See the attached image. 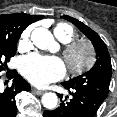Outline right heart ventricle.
<instances>
[{
  "label": "right heart ventricle",
  "mask_w": 117,
  "mask_h": 117,
  "mask_svg": "<svg viewBox=\"0 0 117 117\" xmlns=\"http://www.w3.org/2000/svg\"><path fill=\"white\" fill-rule=\"evenodd\" d=\"M53 32L57 39H59L62 43L72 41L76 35L74 28L63 22L57 23L53 28Z\"/></svg>",
  "instance_id": "obj_1"
}]
</instances>
